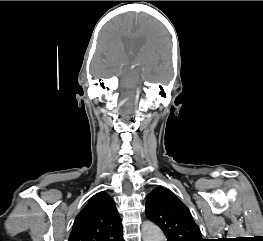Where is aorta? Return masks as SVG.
Listing matches in <instances>:
<instances>
[{
  "label": "aorta",
  "instance_id": "aorta-1",
  "mask_svg": "<svg viewBox=\"0 0 263 241\" xmlns=\"http://www.w3.org/2000/svg\"><path fill=\"white\" fill-rule=\"evenodd\" d=\"M143 241H165L162 231L153 223L146 222L142 226Z\"/></svg>",
  "mask_w": 263,
  "mask_h": 241
}]
</instances>
